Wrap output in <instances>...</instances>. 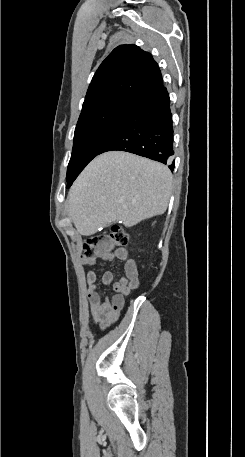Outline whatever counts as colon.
<instances>
[{
	"instance_id": "1",
	"label": "colon",
	"mask_w": 245,
	"mask_h": 457,
	"mask_svg": "<svg viewBox=\"0 0 245 457\" xmlns=\"http://www.w3.org/2000/svg\"><path fill=\"white\" fill-rule=\"evenodd\" d=\"M127 242L128 235L125 230L121 226L113 225L109 232L94 234L84 241L82 257L104 256L125 246Z\"/></svg>"
}]
</instances>
